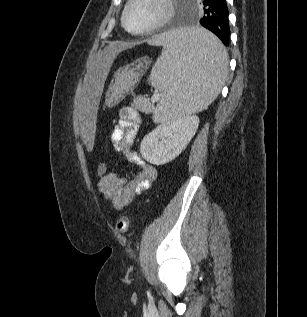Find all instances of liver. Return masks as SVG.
Instances as JSON below:
<instances>
[{
  "label": "liver",
  "instance_id": "6515ba94",
  "mask_svg": "<svg viewBox=\"0 0 307 317\" xmlns=\"http://www.w3.org/2000/svg\"><path fill=\"white\" fill-rule=\"evenodd\" d=\"M133 44L126 42H114L109 44L104 51L93 60L90 65L81 93V101L78 102V124L80 125V142H85L82 149L83 154H94L95 144L99 142V135H93L96 126V116L100 110L99 105L103 99L102 92L105 91L103 82L109 77L110 67L120 51L131 48ZM164 98V92L161 101ZM160 101V102H161Z\"/></svg>",
  "mask_w": 307,
  "mask_h": 317
}]
</instances>
